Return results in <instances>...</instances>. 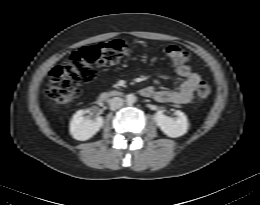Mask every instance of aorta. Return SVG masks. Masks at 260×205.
Here are the masks:
<instances>
[{
  "instance_id": "obj_1",
  "label": "aorta",
  "mask_w": 260,
  "mask_h": 205,
  "mask_svg": "<svg viewBox=\"0 0 260 205\" xmlns=\"http://www.w3.org/2000/svg\"><path fill=\"white\" fill-rule=\"evenodd\" d=\"M126 102H127V104H129V105L134 104V103L136 102V96L133 95V94H128V95L126 96Z\"/></svg>"
}]
</instances>
